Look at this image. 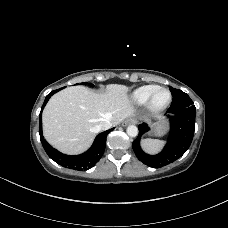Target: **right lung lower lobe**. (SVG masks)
Listing matches in <instances>:
<instances>
[{
	"label": "right lung lower lobe",
	"instance_id": "right-lung-lower-lobe-1",
	"mask_svg": "<svg viewBox=\"0 0 228 228\" xmlns=\"http://www.w3.org/2000/svg\"><path fill=\"white\" fill-rule=\"evenodd\" d=\"M61 89L54 90L50 92L43 103V106L41 108V112L46 105L47 101L49 98L56 92H58ZM41 112L39 115V134H40V139L43 145L44 150L48 154V156L53 159L56 163L60 164L63 167L74 169V170H88L91 167H93L102 157L105 147H106V138L107 135L110 131L113 130L109 129L105 132L100 133L97 135V137L94 140L93 145L91 148L86 151L83 154L77 155V156H69L62 154L61 152L57 151L54 149L43 137L42 134V121H41Z\"/></svg>",
	"mask_w": 228,
	"mask_h": 228
}]
</instances>
